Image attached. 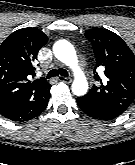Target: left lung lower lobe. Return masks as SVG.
Wrapping results in <instances>:
<instances>
[{
  "mask_svg": "<svg viewBox=\"0 0 135 165\" xmlns=\"http://www.w3.org/2000/svg\"><path fill=\"white\" fill-rule=\"evenodd\" d=\"M78 106L90 117L99 120H111L119 115L115 114L111 110L107 109L106 107L102 106L101 104L93 101L92 99L85 98V97H78L77 98Z\"/></svg>",
  "mask_w": 135,
  "mask_h": 165,
  "instance_id": "0a47b994",
  "label": "left lung lower lobe"
}]
</instances>
